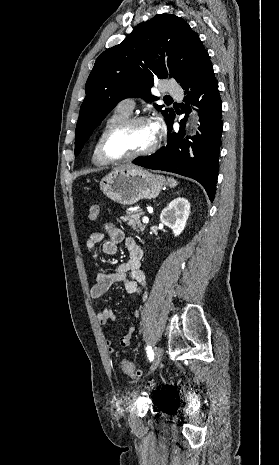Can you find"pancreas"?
<instances>
[{"label":"pancreas","mask_w":279,"mask_h":465,"mask_svg":"<svg viewBox=\"0 0 279 465\" xmlns=\"http://www.w3.org/2000/svg\"><path fill=\"white\" fill-rule=\"evenodd\" d=\"M143 215L141 210L135 212H128L127 215L122 217L124 222H127L129 226H131L134 230L138 233L143 232L145 230V225L141 223L140 217Z\"/></svg>","instance_id":"1"}]
</instances>
